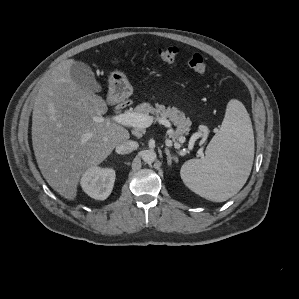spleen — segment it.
<instances>
[{
	"label": "spleen",
	"instance_id": "1",
	"mask_svg": "<svg viewBox=\"0 0 299 299\" xmlns=\"http://www.w3.org/2000/svg\"><path fill=\"white\" fill-rule=\"evenodd\" d=\"M254 159L252 123L245 106L228 102L221 128L202 159L186 161L180 170L185 185L210 201L223 202L246 183Z\"/></svg>",
	"mask_w": 299,
	"mask_h": 299
}]
</instances>
